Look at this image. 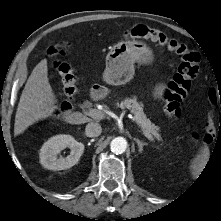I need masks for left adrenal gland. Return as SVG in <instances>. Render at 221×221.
I'll use <instances>...</instances> for the list:
<instances>
[{
	"label": "left adrenal gland",
	"instance_id": "1",
	"mask_svg": "<svg viewBox=\"0 0 221 221\" xmlns=\"http://www.w3.org/2000/svg\"><path fill=\"white\" fill-rule=\"evenodd\" d=\"M135 141H136V143L138 144V148H139V152L140 153H142V151H143V147L145 146V145H147V143H144V142H141L139 139H134Z\"/></svg>",
	"mask_w": 221,
	"mask_h": 221
}]
</instances>
